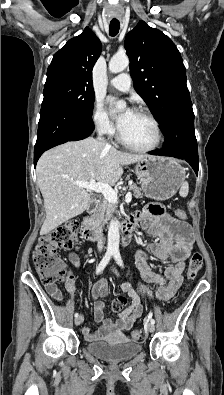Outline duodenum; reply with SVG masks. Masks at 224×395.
Segmentation results:
<instances>
[{
  "instance_id": "410a0bca",
  "label": "duodenum",
  "mask_w": 224,
  "mask_h": 395,
  "mask_svg": "<svg viewBox=\"0 0 224 395\" xmlns=\"http://www.w3.org/2000/svg\"><path fill=\"white\" fill-rule=\"evenodd\" d=\"M97 203V199L91 200L90 206L87 209V214H91L93 212ZM136 223L135 214H132L122 224V245L127 246L131 242ZM81 234L85 240L92 242H95L99 237V229L93 225L88 216L81 223Z\"/></svg>"
}]
</instances>
